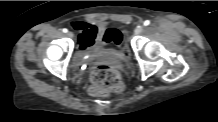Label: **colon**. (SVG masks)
Segmentation results:
<instances>
[{"label": "colon", "mask_w": 218, "mask_h": 122, "mask_svg": "<svg viewBox=\"0 0 218 122\" xmlns=\"http://www.w3.org/2000/svg\"><path fill=\"white\" fill-rule=\"evenodd\" d=\"M126 34L121 27H106L102 31L101 46L108 51H117L125 40ZM91 92L103 94L107 92H120L123 89V81L112 66L105 62H99L92 68Z\"/></svg>", "instance_id": "5ec220e1"}]
</instances>
